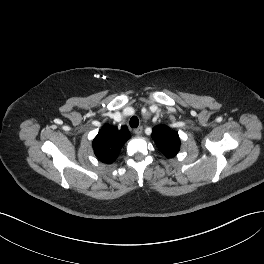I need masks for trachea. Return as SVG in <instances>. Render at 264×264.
<instances>
[{
	"instance_id": "3493384b",
	"label": "trachea",
	"mask_w": 264,
	"mask_h": 264,
	"mask_svg": "<svg viewBox=\"0 0 264 264\" xmlns=\"http://www.w3.org/2000/svg\"><path fill=\"white\" fill-rule=\"evenodd\" d=\"M130 125L131 127H138L139 125V119L136 116H132L130 119Z\"/></svg>"
}]
</instances>
